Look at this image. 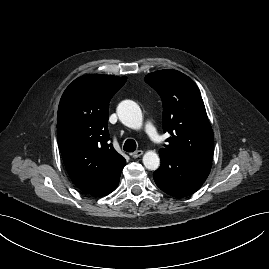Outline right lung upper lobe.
Instances as JSON below:
<instances>
[{
	"label": "right lung upper lobe",
	"mask_w": 269,
	"mask_h": 269,
	"mask_svg": "<svg viewBox=\"0 0 269 269\" xmlns=\"http://www.w3.org/2000/svg\"><path fill=\"white\" fill-rule=\"evenodd\" d=\"M127 77L90 74L74 80L58 108L57 140L73 183L93 193L122 171L126 162L109 143L108 106Z\"/></svg>",
	"instance_id": "cb5924a9"
}]
</instances>
